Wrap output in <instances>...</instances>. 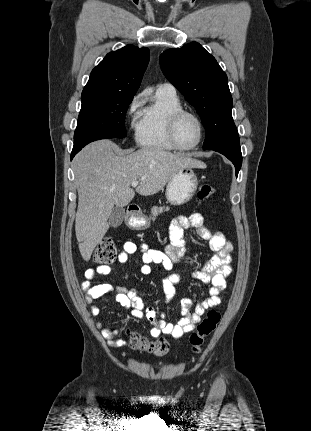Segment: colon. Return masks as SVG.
Segmentation results:
<instances>
[{
	"mask_svg": "<svg viewBox=\"0 0 311 431\" xmlns=\"http://www.w3.org/2000/svg\"><path fill=\"white\" fill-rule=\"evenodd\" d=\"M215 189L209 184H202L198 191L200 200H209L215 195ZM117 250L115 244L110 238H103L95 249L93 260L96 263L108 264L115 260ZM220 320V314L211 310L206 318L197 326V330L190 336V344L194 353L201 352L205 338L210 335L216 328ZM128 346L130 349L140 352H146L157 356H162L170 351V344L164 339L150 340L136 333H129Z\"/></svg>",
	"mask_w": 311,
	"mask_h": 431,
	"instance_id": "colon-1",
	"label": "colon"
}]
</instances>
